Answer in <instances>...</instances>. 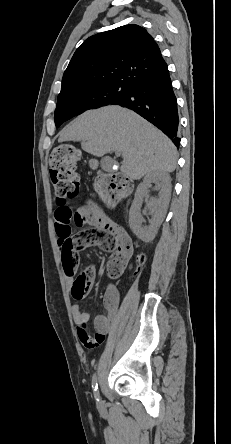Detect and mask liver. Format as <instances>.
Listing matches in <instances>:
<instances>
[{
	"instance_id": "obj_1",
	"label": "liver",
	"mask_w": 231,
	"mask_h": 444,
	"mask_svg": "<svg viewBox=\"0 0 231 444\" xmlns=\"http://www.w3.org/2000/svg\"><path fill=\"white\" fill-rule=\"evenodd\" d=\"M80 141L84 151L102 157L110 152L123 156L121 172L140 179L152 172H173L177 150L160 130L135 112L116 105L89 110L59 134L58 142Z\"/></svg>"
}]
</instances>
